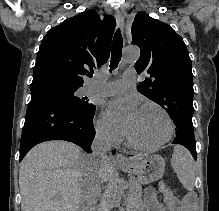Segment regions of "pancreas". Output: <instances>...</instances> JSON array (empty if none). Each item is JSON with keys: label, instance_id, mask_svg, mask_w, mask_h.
Here are the masks:
<instances>
[{"label": "pancreas", "instance_id": "cf45deb5", "mask_svg": "<svg viewBox=\"0 0 219 211\" xmlns=\"http://www.w3.org/2000/svg\"><path fill=\"white\" fill-rule=\"evenodd\" d=\"M133 192L130 193V195H127L126 203L128 204V207L126 208V211H137L138 207H141V196H142V189L140 187H132Z\"/></svg>", "mask_w": 219, "mask_h": 211}]
</instances>
